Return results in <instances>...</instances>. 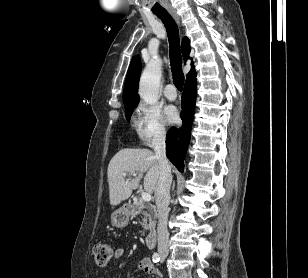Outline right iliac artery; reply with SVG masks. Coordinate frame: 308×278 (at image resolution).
<instances>
[{
    "label": "right iliac artery",
    "instance_id": "right-iliac-artery-1",
    "mask_svg": "<svg viewBox=\"0 0 308 278\" xmlns=\"http://www.w3.org/2000/svg\"><path fill=\"white\" fill-rule=\"evenodd\" d=\"M152 260H153V262H155V263L159 262V260H160L159 254H158V253H154V254L152 255Z\"/></svg>",
    "mask_w": 308,
    "mask_h": 278
}]
</instances>
